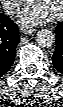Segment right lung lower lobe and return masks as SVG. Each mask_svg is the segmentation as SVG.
Returning a JSON list of instances; mask_svg holds the SVG:
<instances>
[{"label":"right lung lower lobe","instance_id":"obj_1","mask_svg":"<svg viewBox=\"0 0 63 107\" xmlns=\"http://www.w3.org/2000/svg\"><path fill=\"white\" fill-rule=\"evenodd\" d=\"M19 40L17 25L8 16L0 14V76L11 68Z\"/></svg>","mask_w":63,"mask_h":107}]
</instances>
